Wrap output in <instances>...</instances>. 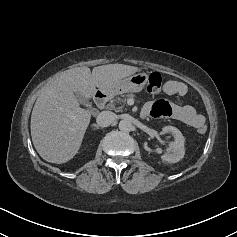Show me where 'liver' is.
<instances>
[{
  "instance_id": "1",
  "label": "liver",
  "mask_w": 237,
  "mask_h": 237,
  "mask_svg": "<svg viewBox=\"0 0 237 237\" xmlns=\"http://www.w3.org/2000/svg\"><path fill=\"white\" fill-rule=\"evenodd\" d=\"M138 70L124 64L102 65L92 72L88 67H78L46 84L31 115V137L38 154L56 164L71 160L80 149L91 119V113L80 107L75 93L92 98L96 87L107 89Z\"/></svg>"
}]
</instances>
